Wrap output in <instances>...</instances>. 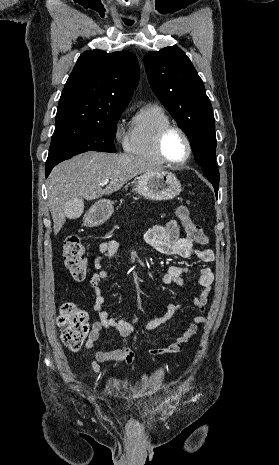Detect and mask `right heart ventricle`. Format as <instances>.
<instances>
[{"label": "right heart ventricle", "mask_w": 279, "mask_h": 465, "mask_svg": "<svg viewBox=\"0 0 279 465\" xmlns=\"http://www.w3.org/2000/svg\"><path fill=\"white\" fill-rule=\"evenodd\" d=\"M171 124L165 109L156 104L142 107L132 118L124 142V150L136 157L163 163L156 150V138L159 131Z\"/></svg>", "instance_id": "obj_1"}]
</instances>
